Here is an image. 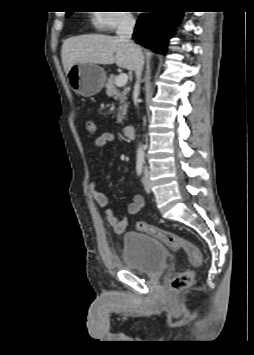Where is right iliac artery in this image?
<instances>
[{"instance_id": "obj_1", "label": "right iliac artery", "mask_w": 254, "mask_h": 355, "mask_svg": "<svg viewBox=\"0 0 254 355\" xmlns=\"http://www.w3.org/2000/svg\"><path fill=\"white\" fill-rule=\"evenodd\" d=\"M143 164H144V157L139 156L137 158V163H136V170H137V174L141 175L142 171H143Z\"/></svg>"}]
</instances>
